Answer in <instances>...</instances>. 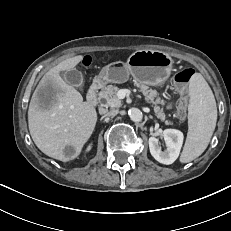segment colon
<instances>
[{
  "label": "colon",
  "mask_w": 231,
  "mask_h": 231,
  "mask_svg": "<svg viewBox=\"0 0 231 231\" xmlns=\"http://www.w3.org/2000/svg\"><path fill=\"white\" fill-rule=\"evenodd\" d=\"M89 64V61L86 62ZM195 71L191 68H184L174 75L173 81L177 90L181 93V97L178 102L177 114L180 119L186 117L188 98L185 94L187 86Z\"/></svg>",
  "instance_id": "5ec220e1"
}]
</instances>
